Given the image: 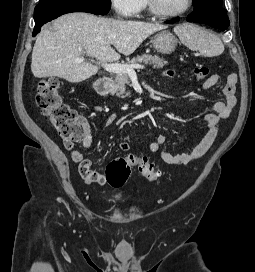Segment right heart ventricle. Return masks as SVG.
Returning <instances> with one entry per match:
<instances>
[{
	"instance_id": "1",
	"label": "right heart ventricle",
	"mask_w": 255,
	"mask_h": 272,
	"mask_svg": "<svg viewBox=\"0 0 255 272\" xmlns=\"http://www.w3.org/2000/svg\"><path fill=\"white\" fill-rule=\"evenodd\" d=\"M146 7V2H145V0H142V5H141V9H144ZM140 9V10H141Z\"/></svg>"
}]
</instances>
